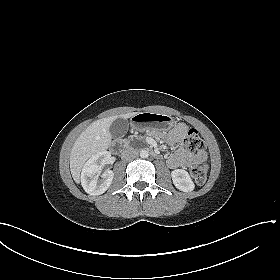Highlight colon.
Listing matches in <instances>:
<instances>
[{
    "label": "colon",
    "mask_w": 280,
    "mask_h": 280,
    "mask_svg": "<svg viewBox=\"0 0 280 280\" xmlns=\"http://www.w3.org/2000/svg\"><path fill=\"white\" fill-rule=\"evenodd\" d=\"M184 137L185 144L190 151H202L204 149V142L196 129H187ZM208 171V164L202 163L192 167L190 174L195 183L203 184L207 179Z\"/></svg>",
    "instance_id": "obj_1"
}]
</instances>
